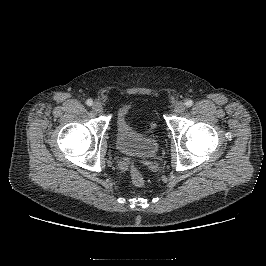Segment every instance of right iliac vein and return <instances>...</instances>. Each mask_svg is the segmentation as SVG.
Masks as SVG:
<instances>
[{
	"label": "right iliac vein",
	"instance_id": "1",
	"mask_svg": "<svg viewBox=\"0 0 266 266\" xmlns=\"http://www.w3.org/2000/svg\"><path fill=\"white\" fill-rule=\"evenodd\" d=\"M92 108H93V110H94L95 112H98V113H100V112L103 111V106H102V104H101L100 102H95V103L93 104Z\"/></svg>",
	"mask_w": 266,
	"mask_h": 266
}]
</instances>
